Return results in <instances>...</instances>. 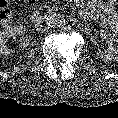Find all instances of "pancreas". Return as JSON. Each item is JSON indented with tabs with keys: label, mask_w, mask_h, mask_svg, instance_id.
Instances as JSON below:
<instances>
[{
	"label": "pancreas",
	"mask_w": 118,
	"mask_h": 118,
	"mask_svg": "<svg viewBox=\"0 0 118 118\" xmlns=\"http://www.w3.org/2000/svg\"><path fill=\"white\" fill-rule=\"evenodd\" d=\"M49 9H51V10H56V7H49Z\"/></svg>",
	"instance_id": "1"
}]
</instances>
